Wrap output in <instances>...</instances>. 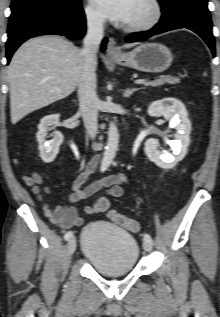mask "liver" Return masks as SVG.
<instances>
[{
    "label": "liver",
    "mask_w": 220,
    "mask_h": 317,
    "mask_svg": "<svg viewBox=\"0 0 220 317\" xmlns=\"http://www.w3.org/2000/svg\"><path fill=\"white\" fill-rule=\"evenodd\" d=\"M82 66L81 49L63 37L46 35L21 45L7 71L12 124L69 96L78 86Z\"/></svg>",
    "instance_id": "1"
}]
</instances>
